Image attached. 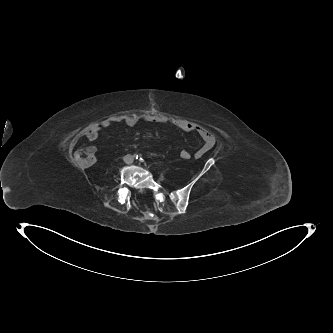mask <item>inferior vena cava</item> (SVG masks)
Instances as JSON below:
<instances>
[{"label":"inferior vena cava","mask_w":333,"mask_h":333,"mask_svg":"<svg viewBox=\"0 0 333 333\" xmlns=\"http://www.w3.org/2000/svg\"><path fill=\"white\" fill-rule=\"evenodd\" d=\"M123 160L126 164H132L134 161V158L131 154H127L123 157Z\"/></svg>","instance_id":"obj_1"}]
</instances>
